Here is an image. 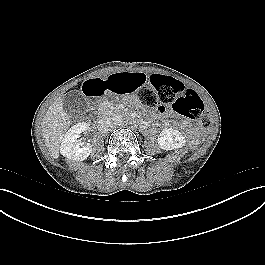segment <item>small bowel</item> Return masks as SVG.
Returning <instances> with one entry per match:
<instances>
[{
  "mask_svg": "<svg viewBox=\"0 0 265 265\" xmlns=\"http://www.w3.org/2000/svg\"><path fill=\"white\" fill-rule=\"evenodd\" d=\"M147 80L149 82L146 73L143 70L137 69L130 72L128 75L118 73L106 78L90 79L84 84L83 90L84 93L90 97L101 96L104 91L113 93H129L133 88L143 85ZM158 115L166 120L171 114L163 108L157 111L154 118L150 119L154 120Z\"/></svg>",
  "mask_w": 265,
  "mask_h": 265,
  "instance_id": "small-bowel-1",
  "label": "small bowel"
}]
</instances>
